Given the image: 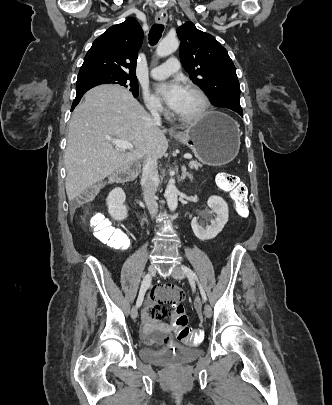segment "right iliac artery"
Segmentation results:
<instances>
[{
    "mask_svg": "<svg viewBox=\"0 0 332 405\" xmlns=\"http://www.w3.org/2000/svg\"><path fill=\"white\" fill-rule=\"evenodd\" d=\"M150 283H151V277L149 275H146L141 284L140 292H139L138 299L136 302L137 307H140L142 305L144 295L146 293V290L150 286Z\"/></svg>",
    "mask_w": 332,
    "mask_h": 405,
    "instance_id": "right-iliac-artery-1",
    "label": "right iliac artery"
}]
</instances>
